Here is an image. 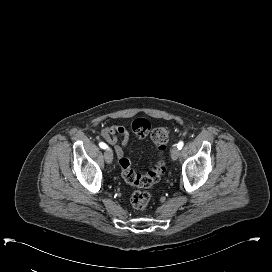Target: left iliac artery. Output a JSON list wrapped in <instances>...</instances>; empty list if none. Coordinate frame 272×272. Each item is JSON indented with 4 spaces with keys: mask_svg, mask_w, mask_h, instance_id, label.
Instances as JSON below:
<instances>
[{
    "mask_svg": "<svg viewBox=\"0 0 272 272\" xmlns=\"http://www.w3.org/2000/svg\"><path fill=\"white\" fill-rule=\"evenodd\" d=\"M183 145H184L183 141H180V142L178 143V145H177L178 149L181 150L182 147H183Z\"/></svg>",
    "mask_w": 272,
    "mask_h": 272,
    "instance_id": "44dca946",
    "label": "left iliac artery"
}]
</instances>
